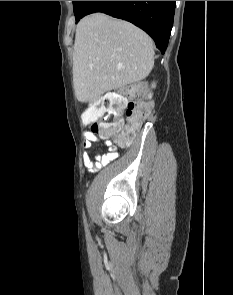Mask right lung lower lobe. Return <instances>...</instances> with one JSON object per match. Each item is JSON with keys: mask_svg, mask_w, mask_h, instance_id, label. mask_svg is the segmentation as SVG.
<instances>
[{"mask_svg": "<svg viewBox=\"0 0 233 295\" xmlns=\"http://www.w3.org/2000/svg\"><path fill=\"white\" fill-rule=\"evenodd\" d=\"M175 5L176 1H88L81 18L103 12L127 20L147 32L163 54L173 26Z\"/></svg>", "mask_w": 233, "mask_h": 295, "instance_id": "1", "label": "right lung lower lobe"}]
</instances>
